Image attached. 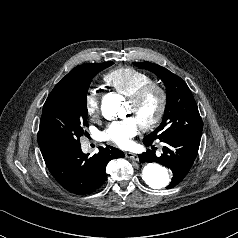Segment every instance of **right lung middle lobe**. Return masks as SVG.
Wrapping results in <instances>:
<instances>
[{
	"mask_svg": "<svg viewBox=\"0 0 238 238\" xmlns=\"http://www.w3.org/2000/svg\"><path fill=\"white\" fill-rule=\"evenodd\" d=\"M113 62L86 65L78 74L59 82L44 103L38 132L42 150L60 153L80 145L87 122V91L92 78Z\"/></svg>",
	"mask_w": 238,
	"mask_h": 238,
	"instance_id": "dd1d6c3e",
	"label": "right lung middle lobe"
}]
</instances>
